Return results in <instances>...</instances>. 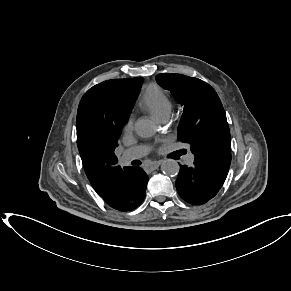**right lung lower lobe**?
I'll return each mask as SVG.
<instances>
[{
	"label": "right lung lower lobe",
	"mask_w": 291,
	"mask_h": 291,
	"mask_svg": "<svg viewBox=\"0 0 291 291\" xmlns=\"http://www.w3.org/2000/svg\"><path fill=\"white\" fill-rule=\"evenodd\" d=\"M121 183L120 195L106 203L121 212L132 211L145 198L148 176L140 167H125L121 175Z\"/></svg>",
	"instance_id": "right-lung-lower-lobe-1"
}]
</instances>
